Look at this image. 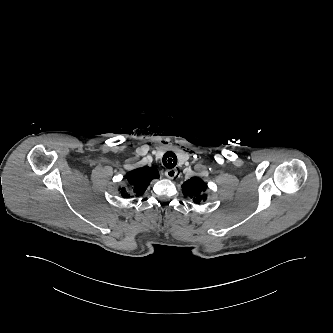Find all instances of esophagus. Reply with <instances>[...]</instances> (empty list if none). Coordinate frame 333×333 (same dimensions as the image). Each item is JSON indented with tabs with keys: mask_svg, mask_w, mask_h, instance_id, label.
<instances>
[{
	"mask_svg": "<svg viewBox=\"0 0 333 333\" xmlns=\"http://www.w3.org/2000/svg\"><path fill=\"white\" fill-rule=\"evenodd\" d=\"M178 174V169L177 168H173V169H167L165 171V176L168 178V179H173L177 176Z\"/></svg>",
	"mask_w": 333,
	"mask_h": 333,
	"instance_id": "obj_1",
	"label": "esophagus"
}]
</instances>
